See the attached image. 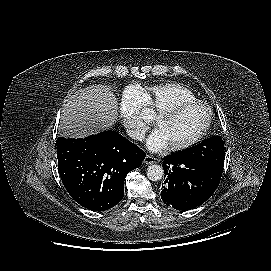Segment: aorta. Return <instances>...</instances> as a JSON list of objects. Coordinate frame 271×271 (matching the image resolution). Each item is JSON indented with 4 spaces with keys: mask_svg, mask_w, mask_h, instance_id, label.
<instances>
[{
    "mask_svg": "<svg viewBox=\"0 0 271 271\" xmlns=\"http://www.w3.org/2000/svg\"><path fill=\"white\" fill-rule=\"evenodd\" d=\"M164 175V170L160 165H150L147 168V177L151 180V181H159L162 179Z\"/></svg>",
    "mask_w": 271,
    "mask_h": 271,
    "instance_id": "1",
    "label": "aorta"
}]
</instances>
